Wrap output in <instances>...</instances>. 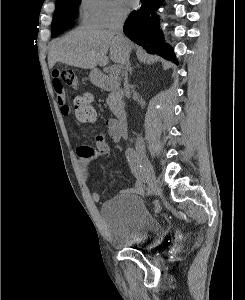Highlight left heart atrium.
I'll list each match as a JSON object with an SVG mask.
<instances>
[{"label": "left heart atrium", "mask_w": 245, "mask_h": 300, "mask_svg": "<svg viewBox=\"0 0 245 300\" xmlns=\"http://www.w3.org/2000/svg\"><path fill=\"white\" fill-rule=\"evenodd\" d=\"M124 3L129 7H134L136 5L137 0H123Z\"/></svg>", "instance_id": "1"}]
</instances>
